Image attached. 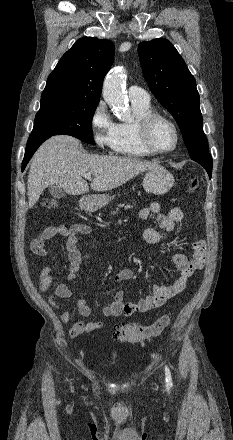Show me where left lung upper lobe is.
I'll return each instance as SVG.
<instances>
[{"label": "left lung upper lobe", "mask_w": 233, "mask_h": 440, "mask_svg": "<svg viewBox=\"0 0 233 440\" xmlns=\"http://www.w3.org/2000/svg\"><path fill=\"white\" fill-rule=\"evenodd\" d=\"M138 54L150 90L175 118L191 158L210 155L196 81L176 48L159 38L140 43Z\"/></svg>", "instance_id": "obj_1"}]
</instances>
